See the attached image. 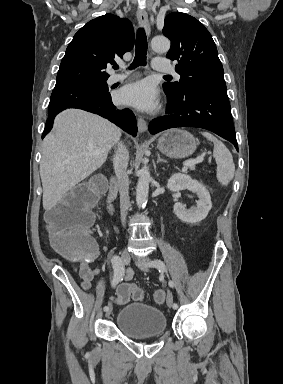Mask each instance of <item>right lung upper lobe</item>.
<instances>
[{
    "label": "right lung upper lobe",
    "mask_w": 283,
    "mask_h": 384,
    "mask_svg": "<svg viewBox=\"0 0 283 384\" xmlns=\"http://www.w3.org/2000/svg\"><path fill=\"white\" fill-rule=\"evenodd\" d=\"M133 44L134 31L127 19L106 14L89 21L68 45L55 88L106 81L109 75L104 69Z\"/></svg>",
    "instance_id": "1"
}]
</instances>
